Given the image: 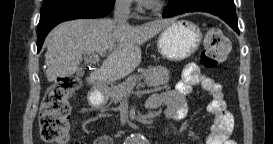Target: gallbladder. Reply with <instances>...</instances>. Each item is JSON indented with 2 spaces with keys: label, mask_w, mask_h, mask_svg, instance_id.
<instances>
[{
  "label": "gallbladder",
  "mask_w": 273,
  "mask_h": 144,
  "mask_svg": "<svg viewBox=\"0 0 273 144\" xmlns=\"http://www.w3.org/2000/svg\"><path fill=\"white\" fill-rule=\"evenodd\" d=\"M83 71H84L83 68H77L75 75L76 76H83L84 75Z\"/></svg>",
  "instance_id": "gallbladder-1"
}]
</instances>
